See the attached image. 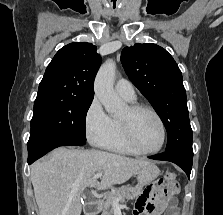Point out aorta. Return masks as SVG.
<instances>
[{"label": "aorta", "mask_w": 223, "mask_h": 215, "mask_svg": "<svg viewBox=\"0 0 223 215\" xmlns=\"http://www.w3.org/2000/svg\"><path fill=\"white\" fill-rule=\"evenodd\" d=\"M115 74V62L106 60L105 64H102L94 82V92L97 98H99L106 111L112 113V115H118L122 106H125V102L120 100L114 92Z\"/></svg>", "instance_id": "aorta-1"}]
</instances>
